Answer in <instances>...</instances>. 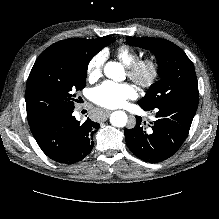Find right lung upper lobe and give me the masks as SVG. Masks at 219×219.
I'll list each match as a JSON object with an SVG mask.
<instances>
[{
	"instance_id": "1",
	"label": "right lung upper lobe",
	"mask_w": 219,
	"mask_h": 219,
	"mask_svg": "<svg viewBox=\"0 0 219 219\" xmlns=\"http://www.w3.org/2000/svg\"><path fill=\"white\" fill-rule=\"evenodd\" d=\"M115 40L116 39L111 36H104L97 39H66L55 43V45L70 49L81 48L95 55L102 48L114 42Z\"/></svg>"
}]
</instances>
